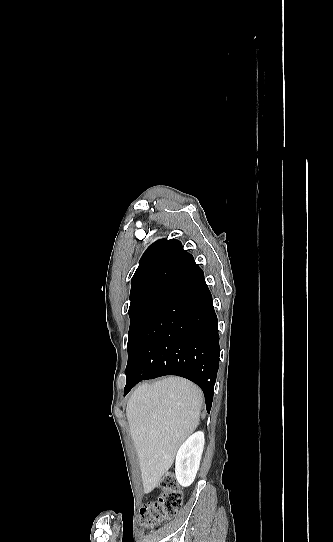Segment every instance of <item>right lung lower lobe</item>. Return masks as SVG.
I'll return each mask as SVG.
<instances>
[{"mask_svg": "<svg viewBox=\"0 0 333 542\" xmlns=\"http://www.w3.org/2000/svg\"><path fill=\"white\" fill-rule=\"evenodd\" d=\"M167 261L190 274L168 292L149 315L126 367V395L138 382L164 375L187 378L201 387L210 412L219 368L218 321L203 271L183 249Z\"/></svg>", "mask_w": 333, "mask_h": 542, "instance_id": "right-lung-lower-lobe-1", "label": "right lung lower lobe"}]
</instances>
